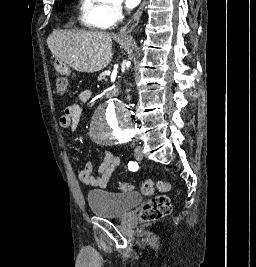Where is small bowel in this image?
<instances>
[{
  "label": "small bowel",
  "instance_id": "small-bowel-1",
  "mask_svg": "<svg viewBox=\"0 0 256 267\" xmlns=\"http://www.w3.org/2000/svg\"><path fill=\"white\" fill-rule=\"evenodd\" d=\"M91 96V90L85 89L80 92L79 100L81 102H88L91 99ZM80 115L81 109L77 104L68 106L60 118L61 127L75 130L77 128ZM119 164L120 158L113 152L106 151L104 160L99 166L96 174L94 173L93 164L91 162H87L84 167L78 171V177L87 186L104 188L107 186L108 181Z\"/></svg>",
  "mask_w": 256,
  "mask_h": 267
}]
</instances>
